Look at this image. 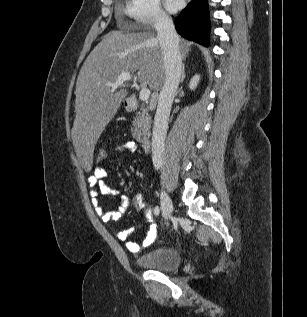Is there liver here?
Here are the masks:
<instances>
[{
  "mask_svg": "<svg viewBox=\"0 0 307 317\" xmlns=\"http://www.w3.org/2000/svg\"><path fill=\"white\" fill-rule=\"evenodd\" d=\"M179 42L185 57L191 43L184 39ZM123 72L135 74L142 87L153 91L163 87L165 68L154 31H112L85 60L76 82L72 128L74 153L83 172H92L94 146L128 94L124 86L117 91L109 85Z\"/></svg>",
  "mask_w": 307,
  "mask_h": 317,
  "instance_id": "1",
  "label": "liver"
}]
</instances>
